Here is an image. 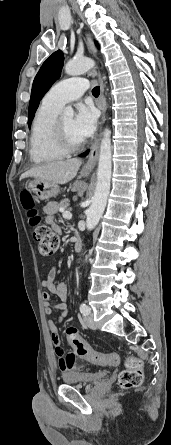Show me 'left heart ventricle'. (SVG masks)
Instances as JSON below:
<instances>
[{"label": "left heart ventricle", "instance_id": "obj_1", "mask_svg": "<svg viewBox=\"0 0 171 445\" xmlns=\"http://www.w3.org/2000/svg\"><path fill=\"white\" fill-rule=\"evenodd\" d=\"M61 125L65 132L66 137L71 143L77 144L82 141V139L75 133L73 128L72 118H61Z\"/></svg>", "mask_w": 171, "mask_h": 445}]
</instances>
